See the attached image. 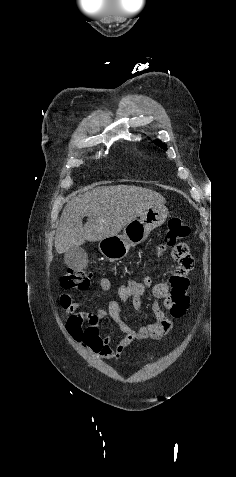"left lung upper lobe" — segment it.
<instances>
[{"label": "left lung upper lobe", "instance_id": "5c2ea615", "mask_svg": "<svg viewBox=\"0 0 236 477\" xmlns=\"http://www.w3.org/2000/svg\"><path fill=\"white\" fill-rule=\"evenodd\" d=\"M155 144H157L158 146H160L162 149L166 150V145L161 143L159 140H156L155 141Z\"/></svg>", "mask_w": 236, "mask_h": 477}]
</instances>
